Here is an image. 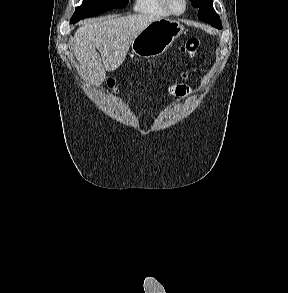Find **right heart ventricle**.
Segmentation results:
<instances>
[{
  "mask_svg": "<svg viewBox=\"0 0 288 293\" xmlns=\"http://www.w3.org/2000/svg\"><path fill=\"white\" fill-rule=\"evenodd\" d=\"M133 9L138 13L168 16L170 13L165 9L161 0H135Z\"/></svg>",
  "mask_w": 288,
  "mask_h": 293,
  "instance_id": "e07e8e85",
  "label": "right heart ventricle"
}]
</instances>
